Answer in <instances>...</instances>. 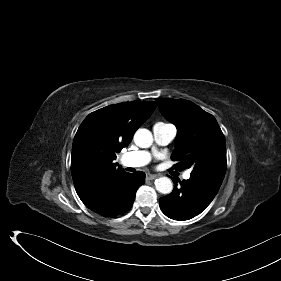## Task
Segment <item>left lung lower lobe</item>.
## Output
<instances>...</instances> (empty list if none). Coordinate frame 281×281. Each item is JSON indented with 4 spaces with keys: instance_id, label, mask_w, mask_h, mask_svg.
<instances>
[{
    "instance_id": "1",
    "label": "left lung lower lobe",
    "mask_w": 281,
    "mask_h": 281,
    "mask_svg": "<svg viewBox=\"0 0 281 281\" xmlns=\"http://www.w3.org/2000/svg\"><path fill=\"white\" fill-rule=\"evenodd\" d=\"M221 179L214 176L190 175L174 186V190L166 197L160 198L162 212L174 220H188L200 214L214 199L222 184ZM175 183V180H173Z\"/></svg>"
}]
</instances>
